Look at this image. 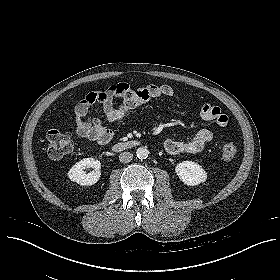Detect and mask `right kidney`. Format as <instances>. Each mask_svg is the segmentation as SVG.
Here are the masks:
<instances>
[{
  "label": "right kidney",
  "mask_w": 280,
  "mask_h": 280,
  "mask_svg": "<svg viewBox=\"0 0 280 280\" xmlns=\"http://www.w3.org/2000/svg\"><path fill=\"white\" fill-rule=\"evenodd\" d=\"M100 162L94 158H85L77 162L68 172V177L71 181L83 186H90L100 178ZM85 168H94L90 173L84 171Z\"/></svg>",
  "instance_id": "right-kidney-1"
}]
</instances>
